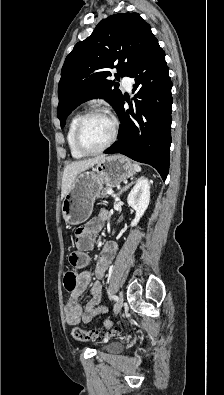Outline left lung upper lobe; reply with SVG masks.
I'll use <instances>...</instances> for the list:
<instances>
[{
    "mask_svg": "<svg viewBox=\"0 0 224 395\" xmlns=\"http://www.w3.org/2000/svg\"><path fill=\"white\" fill-rule=\"evenodd\" d=\"M156 40L138 13L114 14L100 21L88 38L74 46L62 67L57 109L61 128L71 111L90 99L103 98L116 110L123 95L117 83L107 79L109 69H117V79L128 76Z\"/></svg>",
    "mask_w": 224,
    "mask_h": 395,
    "instance_id": "left-lung-upper-lobe-1",
    "label": "left lung upper lobe"
}]
</instances>
